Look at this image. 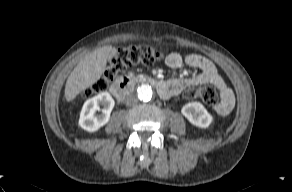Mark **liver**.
<instances>
[{"label": "liver", "mask_w": 292, "mask_h": 192, "mask_svg": "<svg viewBox=\"0 0 292 192\" xmlns=\"http://www.w3.org/2000/svg\"><path fill=\"white\" fill-rule=\"evenodd\" d=\"M112 46H103L82 58L69 75L65 85V99L70 102L95 84L103 74Z\"/></svg>", "instance_id": "liver-1"}]
</instances>
